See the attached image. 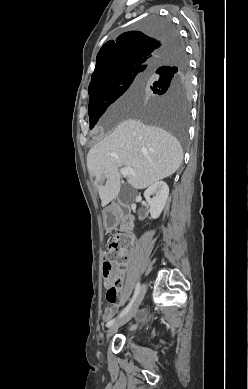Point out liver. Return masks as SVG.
Returning a JSON list of instances; mask_svg holds the SVG:
<instances>
[{
	"label": "liver",
	"mask_w": 248,
	"mask_h": 389,
	"mask_svg": "<svg viewBox=\"0 0 248 389\" xmlns=\"http://www.w3.org/2000/svg\"><path fill=\"white\" fill-rule=\"evenodd\" d=\"M135 92L136 87L132 86L119 104L134 102ZM182 160L183 151L173 135L129 118L90 149L87 167L90 177L95 178L101 205L105 207L120 192V167H131L137 174L127 177L128 184L135 189H145L174 174Z\"/></svg>",
	"instance_id": "liver-1"
}]
</instances>
